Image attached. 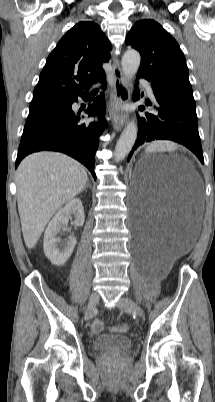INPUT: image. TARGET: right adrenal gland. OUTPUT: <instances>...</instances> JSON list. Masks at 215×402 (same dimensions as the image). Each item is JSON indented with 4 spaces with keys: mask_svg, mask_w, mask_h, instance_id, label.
<instances>
[{
    "mask_svg": "<svg viewBox=\"0 0 215 402\" xmlns=\"http://www.w3.org/2000/svg\"><path fill=\"white\" fill-rule=\"evenodd\" d=\"M88 187H91V185H90V183H89V182H87V184H86V186L84 187V189H83V190H86V188H88Z\"/></svg>",
    "mask_w": 215,
    "mask_h": 402,
    "instance_id": "right-adrenal-gland-1",
    "label": "right adrenal gland"
}]
</instances>
